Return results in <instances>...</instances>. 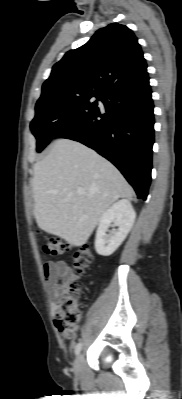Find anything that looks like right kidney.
<instances>
[{
	"label": "right kidney",
	"instance_id": "ca27d5eb",
	"mask_svg": "<svg viewBox=\"0 0 182 399\" xmlns=\"http://www.w3.org/2000/svg\"><path fill=\"white\" fill-rule=\"evenodd\" d=\"M135 218L136 213L127 199L119 200L108 208L100 218L96 231V252L102 256L113 254L130 232ZM111 223L117 226L118 229L113 231L111 236H108L106 232Z\"/></svg>",
	"mask_w": 182,
	"mask_h": 399
}]
</instances>
